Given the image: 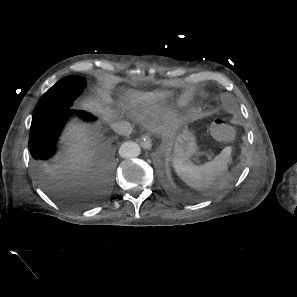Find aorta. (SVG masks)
Segmentation results:
<instances>
[{"label": "aorta", "instance_id": "aorta-1", "mask_svg": "<svg viewBox=\"0 0 297 297\" xmlns=\"http://www.w3.org/2000/svg\"><path fill=\"white\" fill-rule=\"evenodd\" d=\"M141 152L140 146L133 141L124 142L119 148V155L122 158H135Z\"/></svg>", "mask_w": 297, "mask_h": 297}]
</instances>
